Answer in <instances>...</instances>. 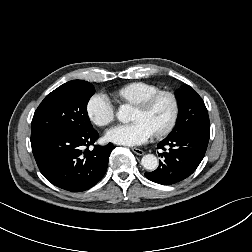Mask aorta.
<instances>
[{"instance_id":"aorta-1","label":"aorta","mask_w":252,"mask_h":252,"mask_svg":"<svg viewBox=\"0 0 252 252\" xmlns=\"http://www.w3.org/2000/svg\"><path fill=\"white\" fill-rule=\"evenodd\" d=\"M132 116H133L132 106L128 104L120 106L117 112V118L119 121L127 123L132 120ZM141 164L145 169L149 171H154L158 167V159L153 154H147L142 157Z\"/></svg>"}]
</instances>
